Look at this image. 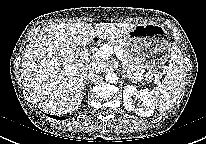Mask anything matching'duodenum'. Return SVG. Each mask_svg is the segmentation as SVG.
<instances>
[{"label": "duodenum", "mask_w": 206, "mask_h": 144, "mask_svg": "<svg viewBox=\"0 0 206 144\" xmlns=\"http://www.w3.org/2000/svg\"><path fill=\"white\" fill-rule=\"evenodd\" d=\"M94 41H95V42L98 41V38H94Z\"/></svg>", "instance_id": "410a0bca"}]
</instances>
